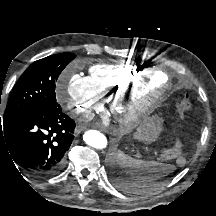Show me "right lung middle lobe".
<instances>
[{
    "instance_id": "dd1d6c3e",
    "label": "right lung middle lobe",
    "mask_w": 216,
    "mask_h": 216,
    "mask_svg": "<svg viewBox=\"0 0 216 216\" xmlns=\"http://www.w3.org/2000/svg\"><path fill=\"white\" fill-rule=\"evenodd\" d=\"M75 57V54L65 52L32 63L14 86L3 121L33 110L58 107L55 82Z\"/></svg>"
}]
</instances>
